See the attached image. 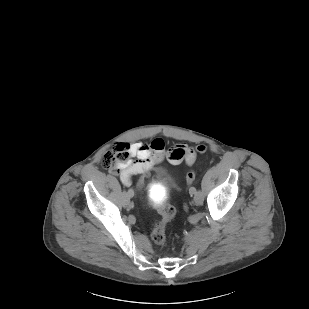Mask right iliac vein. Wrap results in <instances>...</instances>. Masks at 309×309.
<instances>
[{
    "instance_id": "1",
    "label": "right iliac vein",
    "mask_w": 309,
    "mask_h": 309,
    "mask_svg": "<svg viewBox=\"0 0 309 309\" xmlns=\"http://www.w3.org/2000/svg\"><path fill=\"white\" fill-rule=\"evenodd\" d=\"M132 196H133V195H132ZM132 196H129V195L126 194L125 202H126L127 205L130 204V198H131Z\"/></svg>"
}]
</instances>
